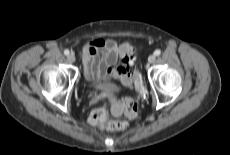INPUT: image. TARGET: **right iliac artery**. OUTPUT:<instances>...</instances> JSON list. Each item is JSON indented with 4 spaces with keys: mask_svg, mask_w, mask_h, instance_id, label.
Listing matches in <instances>:
<instances>
[{
    "mask_svg": "<svg viewBox=\"0 0 230 155\" xmlns=\"http://www.w3.org/2000/svg\"><path fill=\"white\" fill-rule=\"evenodd\" d=\"M64 54H65V55H68V54H69V50L66 49V50L64 51Z\"/></svg>",
    "mask_w": 230,
    "mask_h": 155,
    "instance_id": "1",
    "label": "right iliac artery"
}]
</instances>
